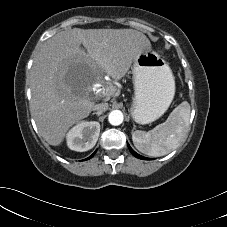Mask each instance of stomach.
<instances>
[{"mask_svg":"<svg viewBox=\"0 0 227 227\" xmlns=\"http://www.w3.org/2000/svg\"><path fill=\"white\" fill-rule=\"evenodd\" d=\"M134 98L130 114L138 124L161 117L175 95V79L167 62L156 52L144 50L132 65Z\"/></svg>","mask_w":227,"mask_h":227,"instance_id":"0dacf381","label":"stomach"}]
</instances>
